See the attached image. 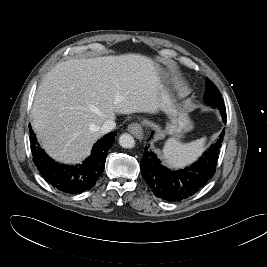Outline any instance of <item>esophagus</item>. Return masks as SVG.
I'll list each match as a JSON object with an SVG mask.
<instances>
[{"mask_svg": "<svg viewBox=\"0 0 267 267\" xmlns=\"http://www.w3.org/2000/svg\"><path fill=\"white\" fill-rule=\"evenodd\" d=\"M128 131L136 138L142 139L144 136L143 127L138 122H133L128 126Z\"/></svg>", "mask_w": 267, "mask_h": 267, "instance_id": "esophagus-1", "label": "esophagus"}]
</instances>
